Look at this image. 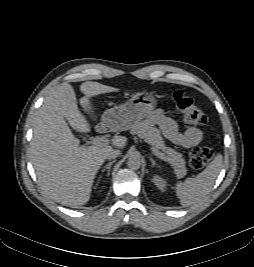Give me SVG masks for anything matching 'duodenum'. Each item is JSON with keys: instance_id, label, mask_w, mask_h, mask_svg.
I'll return each instance as SVG.
<instances>
[{"instance_id": "1", "label": "duodenum", "mask_w": 254, "mask_h": 267, "mask_svg": "<svg viewBox=\"0 0 254 267\" xmlns=\"http://www.w3.org/2000/svg\"><path fill=\"white\" fill-rule=\"evenodd\" d=\"M98 131H99V132H104V131H105V128H104L103 126H99V127H98Z\"/></svg>"}]
</instances>
